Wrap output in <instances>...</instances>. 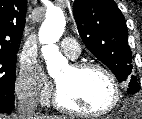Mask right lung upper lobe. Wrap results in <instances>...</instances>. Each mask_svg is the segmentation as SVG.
Returning <instances> with one entry per match:
<instances>
[{"label":"right lung upper lobe","instance_id":"cb5924a9","mask_svg":"<svg viewBox=\"0 0 142 119\" xmlns=\"http://www.w3.org/2000/svg\"><path fill=\"white\" fill-rule=\"evenodd\" d=\"M26 9V0H0V51L19 50Z\"/></svg>","mask_w":142,"mask_h":119}]
</instances>
